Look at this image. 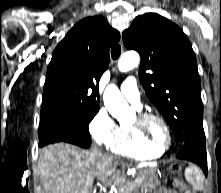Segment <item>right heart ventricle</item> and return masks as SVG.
I'll use <instances>...</instances> for the list:
<instances>
[{
	"label": "right heart ventricle",
	"mask_w": 221,
	"mask_h": 193,
	"mask_svg": "<svg viewBox=\"0 0 221 193\" xmlns=\"http://www.w3.org/2000/svg\"><path fill=\"white\" fill-rule=\"evenodd\" d=\"M109 149L116 155L131 158H154L162 154L143 141L132 125H120L118 136Z\"/></svg>",
	"instance_id": "1"
}]
</instances>
